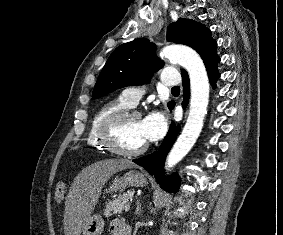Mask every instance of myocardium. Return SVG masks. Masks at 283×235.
Masks as SVG:
<instances>
[{
  "label": "myocardium",
  "mask_w": 283,
  "mask_h": 235,
  "mask_svg": "<svg viewBox=\"0 0 283 235\" xmlns=\"http://www.w3.org/2000/svg\"><path fill=\"white\" fill-rule=\"evenodd\" d=\"M133 117L140 118L141 115L134 109L126 108L112 113L103 120L100 125L98 135L101 143L108 151L119 156L134 157L143 154L147 150V142L138 149L125 150L122 149L115 140V133L119 125Z\"/></svg>",
  "instance_id": "obj_1"
}]
</instances>
